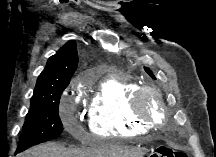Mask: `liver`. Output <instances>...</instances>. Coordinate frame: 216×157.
Instances as JSON below:
<instances>
[{"instance_id":"liver-1","label":"liver","mask_w":216,"mask_h":157,"mask_svg":"<svg viewBox=\"0 0 216 157\" xmlns=\"http://www.w3.org/2000/svg\"><path fill=\"white\" fill-rule=\"evenodd\" d=\"M146 152L145 149L110 143H100L86 149H69L56 143H47L26 151L21 157H143Z\"/></svg>"}]
</instances>
